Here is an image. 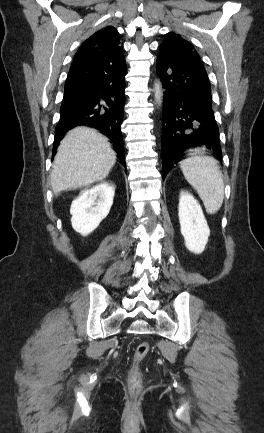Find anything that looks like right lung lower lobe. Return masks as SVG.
Masks as SVG:
<instances>
[{"label":"right lung lower lobe","mask_w":264,"mask_h":433,"mask_svg":"<svg viewBox=\"0 0 264 433\" xmlns=\"http://www.w3.org/2000/svg\"><path fill=\"white\" fill-rule=\"evenodd\" d=\"M126 62H73L64 88L54 148L76 126H90L108 136L125 165L121 132L125 105Z\"/></svg>","instance_id":"obj_1"}]
</instances>
